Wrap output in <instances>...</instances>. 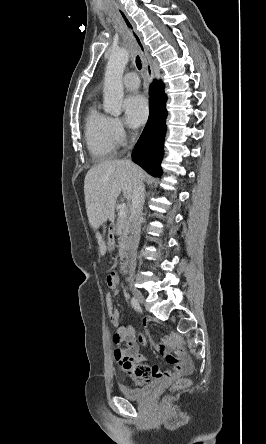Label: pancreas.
<instances>
[{"label":"pancreas","mask_w":266,"mask_h":444,"mask_svg":"<svg viewBox=\"0 0 266 444\" xmlns=\"http://www.w3.org/2000/svg\"><path fill=\"white\" fill-rule=\"evenodd\" d=\"M116 233L119 236L120 256L123 257V250L127 248L128 233H129V219L125 215L118 217L116 221Z\"/></svg>","instance_id":"cf45deb5"}]
</instances>
